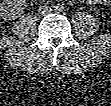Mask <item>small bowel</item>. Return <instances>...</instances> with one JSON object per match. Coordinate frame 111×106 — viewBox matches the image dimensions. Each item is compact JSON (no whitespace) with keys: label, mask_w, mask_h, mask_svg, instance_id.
Returning a JSON list of instances; mask_svg holds the SVG:
<instances>
[{"label":"small bowel","mask_w":111,"mask_h":106,"mask_svg":"<svg viewBox=\"0 0 111 106\" xmlns=\"http://www.w3.org/2000/svg\"><path fill=\"white\" fill-rule=\"evenodd\" d=\"M85 2H87V3H98V2H100V1H98V0H95V1L87 0V1H85Z\"/></svg>","instance_id":"obj_1"}]
</instances>
